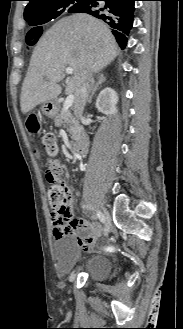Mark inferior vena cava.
Masks as SVG:
<instances>
[{
	"label": "inferior vena cava",
	"mask_w": 183,
	"mask_h": 329,
	"mask_svg": "<svg viewBox=\"0 0 183 329\" xmlns=\"http://www.w3.org/2000/svg\"><path fill=\"white\" fill-rule=\"evenodd\" d=\"M93 87H94L93 74L90 71V69H87L84 72L79 89L75 95L74 114L79 119H82V114L86 105V101Z\"/></svg>",
	"instance_id": "1"
}]
</instances>
